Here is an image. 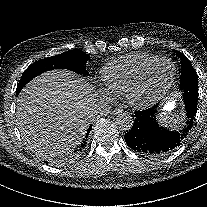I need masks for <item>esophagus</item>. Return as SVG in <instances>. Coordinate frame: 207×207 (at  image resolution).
Returning <instances> with one entry per match:
<instances>
[{"mask_svg":"<svg viewBox=\"0 0 207 207\" xmlns=\"http://www.w3.org/2000/svg\"><path fill=\"white\" fill-rule=\"evenodd\" d=\"M124 110L122 108H115L113 111H112V114L113 115H121L123 114Z\"/></svg>","mask_w":207,"mask_h":207,"instance_id":"1","label":"esophagus"}]
</instances>
